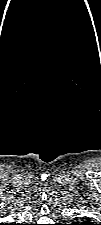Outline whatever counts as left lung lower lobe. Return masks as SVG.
I'll list each match as a JSON object with an SVG mask.
<instances>
[{
    "instance_id": "0a47b994",
    "label": "left lung lower lobe",
    "mask_w": 101,
    "mask_h": 225,
    "mask_svg": "<svg viewBox=\"0 0 101 225\" xmlns=\"http://www.w3.org/2000/svg\"><path fill=\"white\" fill-rule=\"evenodd\" d=\"M76 225H93V224L90 223L89 221H86V222H82L81 224H76Z\"/></svg>"
}]
</instances>
